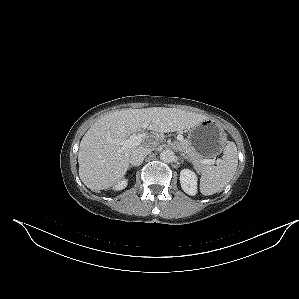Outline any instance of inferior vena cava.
Returning a JSON list of instances; mask_svg holds the SVG:
<instances>
[{"instance_id": "inferior-vena-cava-1", "label": "inferior vena cava", "mask_w": 299, "mask_h": 299, "mask_svg": "<svg viewBox=\"0 0 299 299\" xmlns=\"http://www.w3.org/2000/svg\"><path fill=\"white\" fill-rule=\"evenodd\" d=\"M152 151L151 148L138 147L136 148L130 156V163L133 166H139L142 164L144 158Z\"/></svg>"}]
</instances>
